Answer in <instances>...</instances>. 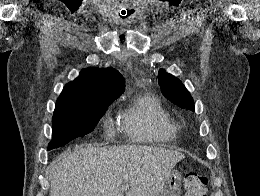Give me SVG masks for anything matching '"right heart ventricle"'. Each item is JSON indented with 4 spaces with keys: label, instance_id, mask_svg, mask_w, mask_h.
<instances>
[{
    "label": "right heart ventricle",
    "instance_id": "1",
    "mask_svg": "<svg viewBox=\"0 0 260 196\" xmlns=\"http://www.w3.org/2000/svg\"><path fill=\"white\" fill-rule=\"evenodd\" d=\"M123 122L132 136L146 144H163L177 134L170 114L153 99L141 96L123 114ZM89 192H121V190H90Z\"/></svg>",
    "mask_w": 260,
    "mask_h": 196
}]
</instances>
